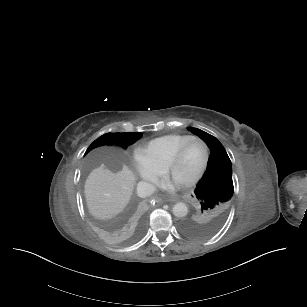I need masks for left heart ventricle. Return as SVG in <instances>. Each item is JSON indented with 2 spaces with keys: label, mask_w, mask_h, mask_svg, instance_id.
I'll return each mask as SVG.
<instances>
[{
  "label": "left heart ventricle",
  "mask_w": 307,
  "mask_h": 307,
  "mask_svg": "<svg viewBox=\"0 0 307 307\" xmlns=\"http://www.w3.org/2000/svg\"><path fill=\"white\" fill-rule=\"evenodd\" d=\"M204 160V146L199 141H193L187 146L181 160L173 165L167 178L171 182L184 186L185 183L200 169Z\"/></svg>",
  "instance_id": "left-heart-ventricle-1"
}]
</instances>
